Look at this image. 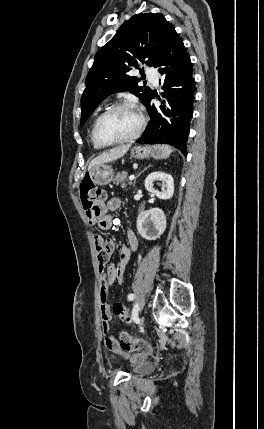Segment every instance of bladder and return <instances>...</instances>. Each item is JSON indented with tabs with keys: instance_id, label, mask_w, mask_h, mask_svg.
I'll return each instance as SVG.
<instances>
[{
	"instance_id": "obj_1",
	"label": "bladder",
	"mask_w": 264,
	"mask_h": 429,
	"mask_svg": "<svg viewBox=\"0 0 264 429\" xmlns=\"http://www.w3.org/2000/svg\"><path fill=\"white\" fill-rule=\"evenodd\" d=\"M154 369L155 366L152 362H149L147 360H139L138 362H135L130 372L134 375L144 376L152 373Z\"/></svg>"
}]
</instances>
